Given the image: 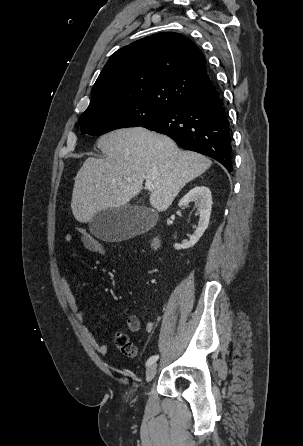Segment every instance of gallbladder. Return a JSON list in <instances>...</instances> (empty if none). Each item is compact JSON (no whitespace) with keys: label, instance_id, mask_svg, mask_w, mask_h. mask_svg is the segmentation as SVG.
<instances>
[{"label":"gallbladder","instance_id":"1","mask_svg":"<svg viewBox=\"0 0 303 446\" xmlns=\"http://www.w3.org/2000/svg\"><path fill=\"white\" fill-rule=\"evenodd\" d=\"M155 220V213L138 206H122L98 212L90 222V232L106 241H119L148 228Z\"/></svg>","mask_w":303,"mask_h":446}]
</instances>
